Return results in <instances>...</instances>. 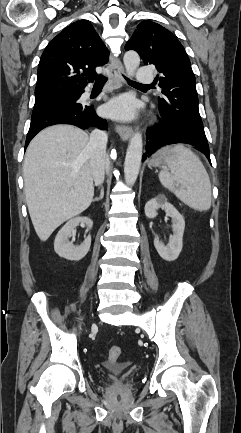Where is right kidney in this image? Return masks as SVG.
Returning a JSON list of instances; mask_svg holds the SVG:
<instances>
[{
	"label": "right kidney",
	"mask_w": 241,
	"mask_h": 433,
	"mask_svg": "<svg viewBox=\"0 0 241 433\" xmlns=\"http://www.w3.org/2000/svg\"><path fill=\"white\" fill-rule=\"evenodd\" d=\"M79 224H84L88 229L93 226V221L88 217H75L69 220L58 232L54 241V250L62 258L71 261L81 260L88 253L91 246V236L88 235L83 243L79 246H74L69 242V237L75 231Z\"/></svg>",
	"instance_id": "1"
}]
</instances>
